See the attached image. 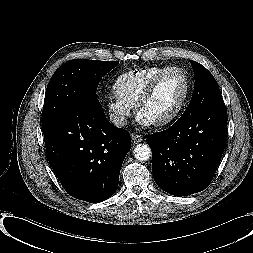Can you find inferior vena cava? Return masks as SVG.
<instances>
[{"label":"inferior vena cava","mask_w":253,"mask_h":253,"mask_svg":"<svg viewBox=\"0 0 253 253\" xmlns=\"http://www.w3.org/2000/svg\"><path fill=\"white\" fill-rule=\"evenodd\" d=\"M110 120L117 127H122L127 124L126 118L124 116L117 115V114H112L110 116Z\"/></svg>","instance_id":"602c4592"}]
</instances>
